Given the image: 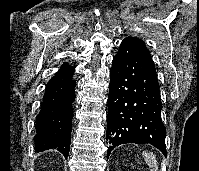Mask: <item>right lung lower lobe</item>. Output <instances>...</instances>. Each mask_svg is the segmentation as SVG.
Returning <instances> with one entry per match:
<instances>
[{
	"mask_svg": "<svg viewBox=\"0 0 199 171\" xmlns=\"http://www.w3.org/2000/svg\"><path fill=\"white\" fill-rule=\"evenodd\" d=\"M74 68L63 64L46 85L36 117L35 151L57 149L67 158L71 142L72 103L75 101Z\"/></svg>",
	"mask_w": 199,
	"mask_h": 171,
	"instance_id": "98d812e1",
	"label": "right lung lower lobe"
}]
</instances>
